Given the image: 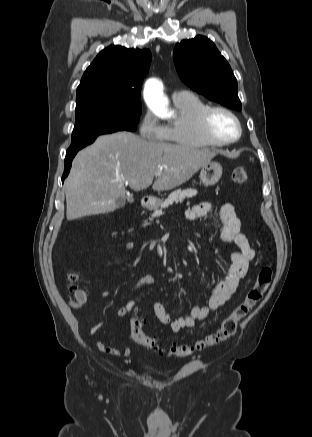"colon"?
Segmentation results:
<instances>
[{"instance_id": "5ec220e1", "label": "colon", "mask_w": 312, "mask_h": 437, "mask_svg": "<svg viewBox=\"0 0 312 437\" xmlns=\"http://www.w3.org/2000/svg\"><path fill=\"white\" fill-rule=\"evenodd\" d=\"M231 178L236 184H246L248 181L247 169L242 166L234 168ZM272 276V266L270 264L262 266L258 272L256 281L247 292L244 300L222 321L220 327L216 331L190 344H173L167 350L168 354L174 357H186L231 338L236 332L238 323L261 300L263 294L271 283ZM67 279L68 290L73 296V305L81 306L85 303L86 297L83 290H81L76 284L77 275L70 273ZM143 323L144 320L138 313H134L131 316L129 330L132 341L147 348L159 349L156 339L147 335L143 331Z\"/></svg>"}]
</instances>
